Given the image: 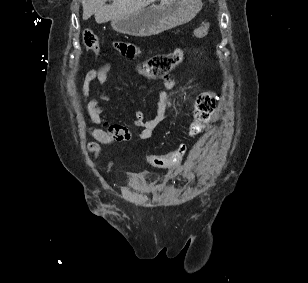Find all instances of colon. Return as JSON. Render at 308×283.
Wrapping results in <instances>:
<instances>
[{"instance_id":"colon-1","label":"colon","mask_w":308,"mask_h":283,"mask_svg":"<svg viewBox=\"0 0 308 283\" xmlns=\"http://www.w3.org/2000/svg\"><path fill=\"white\" fill-rule=\"evenodd\" d=\"M210 30L208 22L193 30L195 38L205 37ZM83 43L87 48L100 53L98 36L91 30L85 29L82 33ZM183 53L181 49H176L170 53L157 54L137 66V71L144 77L155 79L164 78L171 82L169 73L180 64ZM217 96L214 91H204L200 93L194 102L192 119L188 128L189 137L199 135L208 123L213 111L215 110ZM186 150V144L180 143L167 155L150 156L149 162L158 168H172L177 166Z\"/></svg>"}]
</instances>
